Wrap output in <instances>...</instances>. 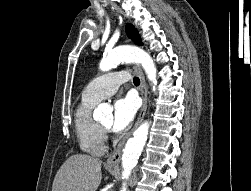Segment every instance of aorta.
I'll return each instance as SVG.
<instances>
[{
  "label": "aorta",
  "mask_w": 251,
  "mask_h": 191,
  "mask_svg": "<svg viewBox=\"0 0 251 191\" xmlns=\"http://www.w3.org/2000/svg\"><path fill=\"white\" fill-rule=\"evenodd\" d=\"M121 62L141 64L142 68L145 70V74L149 82L153 84L152 88L154 90L157 84V70L151 56H149L147 52H144V50H141V48H135V46H118V48H114V50H110V52H105V54H103L99 68L102 70V72H108V70H112V68H115L116 64H121ZM102 111H112V107L107 105V103H100L96 109L97 117H100ZM149 125V121H144V123H141V125L135 129L133 137L128 139L123 149L122 175L125 177V179H128L131 169L135 167L139 159V155H141V151H143V147L148 137ZM126 189L127 187L124 183L121 191H126Z\"/></svg>",
  "instance_id": "762f6f07"
}]
</instances>
